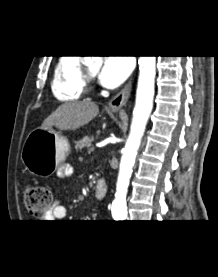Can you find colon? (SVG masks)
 Wrapping results in <instances>:
<instances>
[{"label":"colon","instance_id":"1","mask_svg":"<svg viewBox=\"0 0 218 277\" xmlns=\"http://www.w3.org/2000/svg\"><path fill=\"white\" fill-rule=\"evenodd\" d=\"M25 206L29 214L43 216L50 208L53 195L50 188L43 185H32L24 192Z\"/></svg>","mask_w":218,"mask_h":277}]
</instances>
